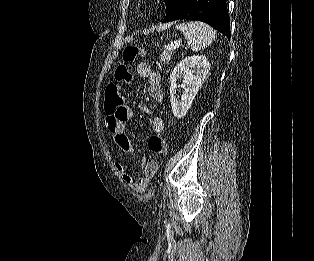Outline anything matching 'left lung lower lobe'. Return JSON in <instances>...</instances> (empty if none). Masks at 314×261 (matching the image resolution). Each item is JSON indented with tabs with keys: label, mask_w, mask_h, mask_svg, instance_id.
Returning a JSON list of instances; mask_svg holds the SVG:
<instances>
[{
	"label": "left lung lower lobe",
	"mask_w": 314,
	"mask_h": 261,
	"mask_svg": "<svg viewBox=\"0 0 314 261\" xmlns=\"http://www.w3.org/2000/svg\"><path fill=\"white\" fill-rule=\"evenodd\" d=\"M179 19L205 22L230 39L226 0H184L169 21Z\"/></svg>",
	"instance_id": "obj_1"
}]
</instances>
